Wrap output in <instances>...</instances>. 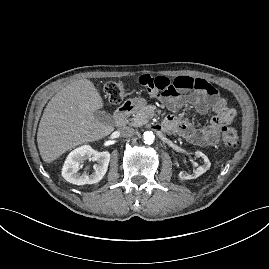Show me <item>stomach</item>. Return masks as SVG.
Listing matches in <instances>:
<instances>
[{"label": "stomach", "mask_w": 269, "mask_h": 269, "mask_svg": "<svg viewBox=\"0 0 269 269\" xmlns=\"http://www.w3.org/2000/svg\"><path fill=\"white\" fill-rule=\"evenodd\" d=\"M131 102L136 107L143 105V100H141V99H132Z\"/></svg>", "instance_id": "1"}]
</instances>
